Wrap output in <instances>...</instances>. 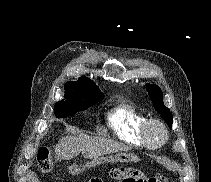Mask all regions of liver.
I'll list each match as a JSON object with an SVG mask.
<instances>
[{"label":"liver","instance_id":"liver-1","mask_svg":"<svg viewBox=\"0 0 211 182\" xmlns=\"http://www.w3.org/2000/svg\"><path fill=\"white\" fill-rule=\"evenodd\" d=\"M130 149L131 147L111 139L78 134L62 137L55 147V154L62 159L70 160L82 153L84 158L96 160L102 155Z\"/></svg>","mask_w":211,"mask_h":182}]
</instances>
